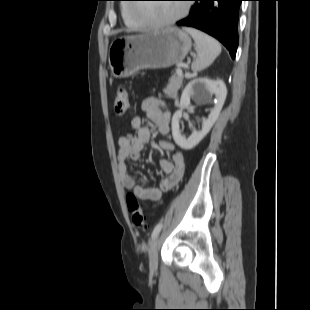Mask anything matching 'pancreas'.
I'll return each mask as SVG.
<instances>
[{"mask_svg":"<svg viewBox=\"0 0 310 310\" xmlns=\"http://www.w3.org/2000/svg\"><path fill=\"white\" fill-rule=\"evenodd\" d=\"M183 78V75H178L177 73L173 74L163 92L170 98H176L177 92L182 85Z\"/></svg>","mask_w":310,"mask_h":310,"instance_id":"1","label":"pancreas"}]
</instances>
